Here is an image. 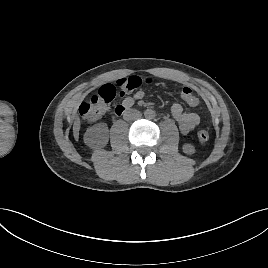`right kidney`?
Returning <instances> with one entry per match:
<instances>
[{"label": "right kidney", "mask_w": 268, "mask_h": 268, "mask_svg": "<svg viewBox=\"0 0 268 268\" xmlns=\"http://www.w3.org/2000/svg\"><path fill=\"white\" fill-rule=\"evenodd\" d=\"M109 140L108 127L105 123H98L84 134V142L91 148H101L107 145Z\"/></svg>", "instance_id": "obj_1"}]
</instances>
